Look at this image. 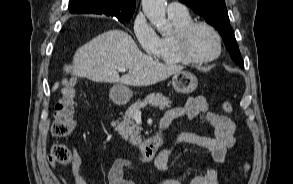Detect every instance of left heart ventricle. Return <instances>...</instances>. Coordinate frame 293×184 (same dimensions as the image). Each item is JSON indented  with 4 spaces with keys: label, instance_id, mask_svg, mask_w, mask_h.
Segmentation results:
<instances>
[{
    "label": "left heart ventricle",
    "instance_id": "obj_1",
    "mask_svg": "<svg viewBox=\"0 0 293 184\" xmlns=\"http://www.w3.org/2000/svg\"><path fill=\"white\" fill-rule=\"evenodd\" d=\"M188 51L195 58L212 56L217 51L214 35L207 28H196L189 38Z\"/></svg>",
    "mask_w": 293,
    "mask_h": 184
}]
</instances>
